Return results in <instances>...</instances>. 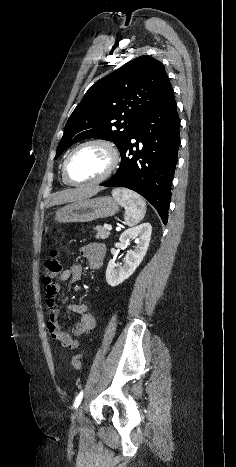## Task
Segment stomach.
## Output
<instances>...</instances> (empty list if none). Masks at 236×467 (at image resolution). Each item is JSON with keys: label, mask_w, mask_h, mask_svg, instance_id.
Instances as JSON below:
<instances>
[{"label": "stomach", "mask_w": 236, "mask_h": 467, "mask_svg": "<svg viewBox=\"0 0 236 467\" xmlns=\"http://www.w3.org/2000/svg\"><path fill=\"white\" fill-rule=\"evenodd\" d=\"M118 211V202L110 196L83 199L60 208L55 214V221L59 223L90 222L113 216Z\"/></svg>", "instance_id": "1"}]
</instances>
